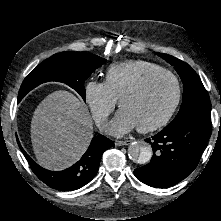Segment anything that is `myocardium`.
Masks as SVG:
<instances>
[{"mask_svg": "<svg viewBox=\"0 0 221 221\" xmlns=\"http://www.w3.org/2000/svg\"><path fill=\"white\" fill-rule=\"evenodd\" d=\"M161 76L169 77L175 85V96H174L173 103H172L170 109L168 110V112L159 121H157L151 125L137 127V130L139 132H142V133L153 132V131L163 128L164 126H166L170 122V120L174 116L175 112L177 111L178 106L181 101L182 87H181V83H180L179 78L173 72L166 70V69L154 71V72H151V73L145 75L144 77H142L138 82H136L134 85H132L131 87L126 89L118 98V106L120 108L121 103L125 98L140 93L141 91H143L146 88V86L152 80H154L158 77H161Z\"/></svg>", "mask_w": 221, "mask_h": 221, "instance_id": "f54148a6", "label": "myocardium"}]
</instances>
